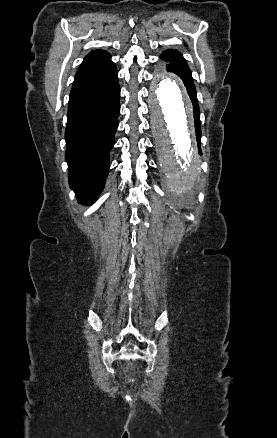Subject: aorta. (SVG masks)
Instances as JSON below:
<instances>
[{
    "instance_id": "762f6f07",
    "label": "aorta",
    "mask_w": 277,
    "mask_h": 438,
    "mask_svg": "<svg viewBox=\"0 0 277 438\" xmlns=\"http://www.w3.org/2000/svg\"><path fill=\"white\" fill-rule=\"evenodd\" d=\"M150 100L153 130L169 187L175 193H187L194 189L201 173L191 104L179 84L162 69L154 73Z\"/></svg>"
}]
</instances>
